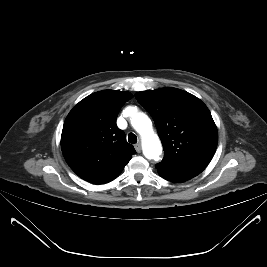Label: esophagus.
<instances>
[{
	"label": "esophagus",
	"instance_id": "34e87169",
	"mask_svg": "<svg viewBox=\"0 0 267 267\" xmlns=\"http://www.w3.org/2000/svg\"><path fill=\"white\" fill-rule=\"evenodd\" d=\"M135 150H136L138 153L141 152V145H140V143H137V144L135 145Z\"/></svg>",
	"mask_w": 267,
	"mask_h": 267
}]
</instances>
